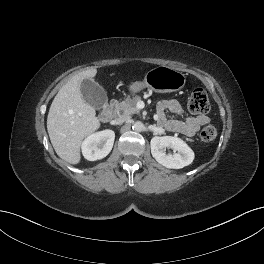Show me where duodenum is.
<instances>
[{
    "instance_id": "410a0bca",
    "label": "duodenum",
    "mask_w": 264,
    "mask_h": 264,
    "mask_svg": "<svg viewBox=\"0 0 264 264\" xmlns=\"http://www.w3.org/2000/svg\"><path fill=\"white\" fill-rule=\"evenodd\" d=\"M115 116V103L110 104L100 113V120L102 122H109Z\"/></svg>"
}]
</instances>
